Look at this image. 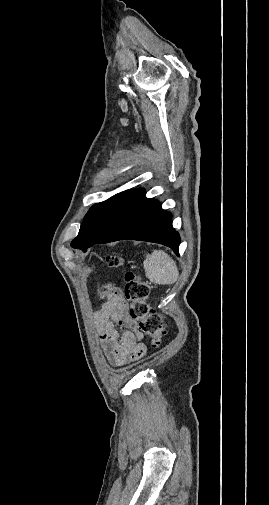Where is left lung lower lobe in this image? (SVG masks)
Segmentation results:
<instances>
[{"instance_id": "1", "label": "left lung lower lobe", "mask_w": 269, "mask_h": 505, "mask_svg": "<svg viewBox=\"0 0 269 505\" xmlns=\"http://www.w3.org/2000/svg\"><path fill=\"white\" fill-rule=\"evenodd\" d=\"M118 240L155 242L170 247L177 255L181 242L172 227L171 214L155 199H147L143 189L134 192L107 233L95 244ZM94 245V244H93ZM85 246L82 250L93 246Z\"/></svg>"}]
</instances>
